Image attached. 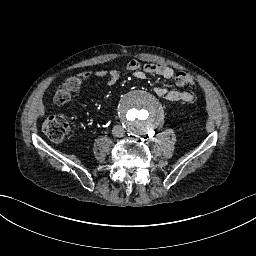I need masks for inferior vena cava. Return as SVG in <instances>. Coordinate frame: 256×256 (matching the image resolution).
Here are the masks:
<instances>
[{"label":"inferior vena cava","mask_w":256,"mask_h":256,"mask_svg":"<svg viewBox=\"0 0 256 256\" xmlns=\"http://www.w3.org/2000/svg\"><path fill=\"white\" fill-rule=\"evenodd\" d=\"M124 128L121 125H115L113 127V135L117 137H122L124 134Z\"/></svg>","instance_id":"obj_1"}]
</instances>
